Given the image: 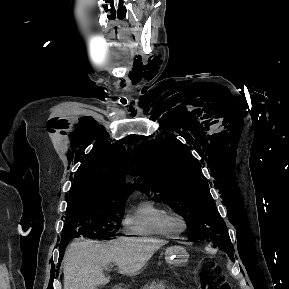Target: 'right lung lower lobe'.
I'll return each mask as SVG.
<instances>
[{
    "instance_id": "98d812e1",
    "label": "right lung lower lobe",
    "mask_w": 289,
    "mask_h": 289,
    "mask_svg": "<svg viewBox=\"0 0 289 289\" xmlns=\"http://www.w3.org/2000/svg\"><path fill=\"white\" fill-rule=\"evenodd\" d=\"M66 245H67L66 243L60 244V247H59V249H60V258H61V255H62Z\"/></svg>"
}]
</instances>
